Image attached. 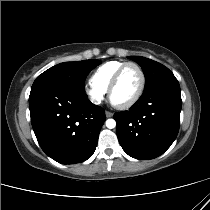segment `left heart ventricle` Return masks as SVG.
<instances>
[{
  "label": "left heart ventricle",
  "mask_w": 210,
  "mask_h": 210,
  "mask_svg": "<svg viewBox=\"0 0 210 210\" xmlns=\"http://www.w3.org/2000/svg\"><path fill=\"white\" fill-rule=\"evenodd\" d=\"M141 82V76L134 66L126 67L119 79L117 86L112 93L114 103L122 104L134 97Z\"/></svg>",
  "instance_id": "left-heart-ventricle-1"
}]
</instances>
